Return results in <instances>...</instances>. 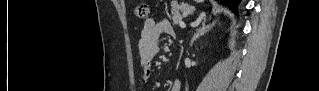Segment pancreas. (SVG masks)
<instances>
[{"label": "pancreas", "mask_w": 319, "mask_h": 91, "mask_svg": "<svg viewBox=\"0 0 319 91\" xmlns=\"http://www.w3.org/2000/svg\"><path fill=\"white\" fill-rule=\"evenodd\" d=\"M191 11V7L188 5H172L171 14H172V22L174 25H177L182 20L181 13H189Z\"/></svg>", "instance_id": "pancreas-1"}]
</instances>
